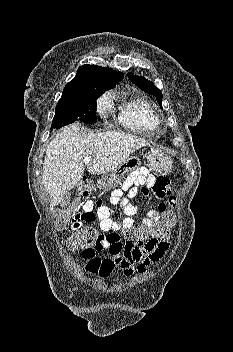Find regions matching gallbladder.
<instances>
[{
	"instance_id": "gallbladder-1",
	"label": "gallbladder",
	"mask_w": 233,
	"mask_h": 352,
	"mask_svg": "<svg viewBox=\"0 0 233 352\" xmlns=\"http://www.w3.org/2000/svg\"><path fill=\"white\" fill-rule=\"evenodd\" d=\"M72 193L71 192H67L64 196H63V198H62V201L60 202V206L62 207V208H67V207H69V205H70V203H71V200H72V195H71Z\"/></svg>"
}]
</instances>
